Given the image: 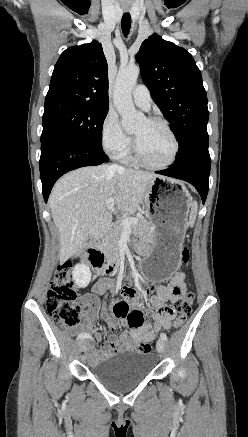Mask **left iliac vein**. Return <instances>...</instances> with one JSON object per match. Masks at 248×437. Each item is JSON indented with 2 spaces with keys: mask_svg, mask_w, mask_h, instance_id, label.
I'll use <instances>...</instances> for the list:
<instances>
[{
  "mask_svg": "<svg viewBox=\"0 0 248 437\" xmlns=\"http://www.w3.org/2000/svg\"><path fill=\"white\" fill-rule=\"evenodd\" d=\"M156 349L158 353H163L165 349V342L163 339H159L156 343Z\"/></svg>",
  "mask_w": 248,
  "mask_h": 437,
  "instance_id": "1",
  "label": "left iliac vein"
}]
</instances>
